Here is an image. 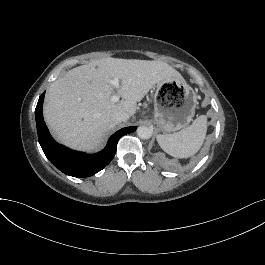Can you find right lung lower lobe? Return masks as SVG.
<instances>
[{
  "label": "right lung lower lobe",
  "instance_id": "obj_1",
  "mask_svg": "<svg viewBox=\"0 0 265 265\" xmlns=\"http://www.w3.org/2000/svg\"><path fill=\"white\" fill-rule=\"evenodd\" d=\"M43 100L44 93L39 97L35 109L39 143L49 161L63 173L73 177H89L102 170L113 159L118 140L136 130L135 126L122 128L110 137L107 146L101 152L95 154L72 151L57 144L51 137L43 120Z\"/></svg>",
  "mask_w": 265,
  "mask_h": 265
}]
</instances>
